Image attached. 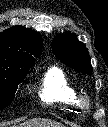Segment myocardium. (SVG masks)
I'll return each mask as SVG.
<instances>
[{
	"mask_svg": "<svg viewBox=\"0 0 108 127\" xmlns=\"http://www.w3.org/2000/svg\"><path fill=\"white\" fill-rule=\"evenodd\" d=\"M78 105L82 108H89L90 106V99L86 95H82L78 98Z\"/></svg>",
	"mask_w": 108,
	"mask_h": 127,
	"instance_id": "obj_1",
	"label": "myocardium"
}]
</instances>
